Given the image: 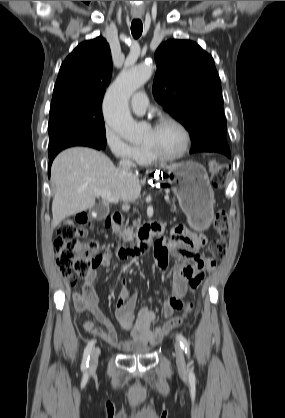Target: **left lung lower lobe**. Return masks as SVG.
I'll return each instance as SVG.
<instances>
[{
    "label": "left lung lower lobe",
    "instance_id": "1",
    "mask_svg": "<svg viewBox=\"0 0 285 418\" xmlns=\"http://www.w3.org/2000/svg\"><path fill=\"white\" fill-rule=\"evenodd\" d=\"M226 156H228L230 158L231 157V154L230 155H226Z\"/></svg>",
    "mask_w": 285,
    "mask_h": 418
}]
</instances>
